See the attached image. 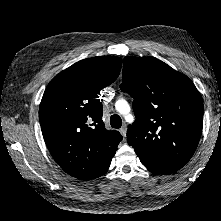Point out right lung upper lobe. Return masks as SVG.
Masks as SVG:
<instances>
[{"mask_svg":"<svg viewBox=\"0 0 221 221\" xmlns=\"http://www.w3.org/2000/svg\"><path fill=\"white\" fill-rule=\"evenodd\" d=\"M121 65L116 56L81 60L56 75L42 97L39 119L47 148L77 179L105 174L122 140L118 131L105 129L98 95L117 79Z\"/></svg>","mask_w":221,"mask_h":221,"instance_id":"obj_1","label":"right lung upper lobe"}]
</instances>
